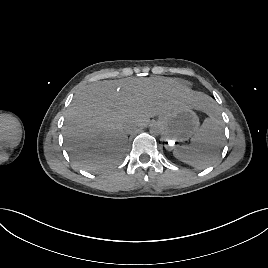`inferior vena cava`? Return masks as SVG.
I'll use <instances>...</instances> for the list:
<instances>
[{
	"label": "inferior vena cava",
	"mask_w": 268,
	"mask_h": 268,
	"mask_svg": "<svg viewBox=\"0 0 268 268\" xmlns=\"http://www.w3.org/2000/svg\"><path fill=\"white\" fill-rule=\"evenodd\" d=\"M136 130H137V127H132V128L129 129V133H132V132H134Z\"/></svg>",
	"instance_id": "602c4592"
}]
</instances>
